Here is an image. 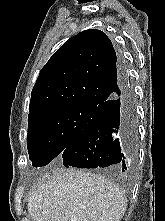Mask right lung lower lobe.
<instances>
[{
	"mask_svg": "<svg viewBox=\"0 0 165 221\" xmlns=\"http://www.w3.org/2000/svg\"><path fill=\"white\" fill-rule=\"evenodd\" d=\"M120 81L119 89L95 108L91 120L62 152L64 166L129 171L128 160L137 143V118L134 94L122 68Z\"/></svg>",
	"mask_w": 165,
	"mask_h": 221,
	"instance_id": "1",
	"label": "right lung lower lobe"
}]
</instances>
